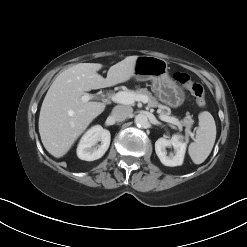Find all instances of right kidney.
Returning <instances> with one entry per match:
<instances>
[{"label":"right kidney","instance_id":"right-kidney-1","mask_svg":"<svg viewBox=\"0 0 247 247\" xmlns=\"http://www.w3.org/2000/svg\"><path fill=\"white\" fill-rule=\"evenodd\" d=\"M110 140L109 130L103 129L100 125L93 126L82 136L77 147V156L81 160H97L108 150ZM98 142H101L100 145H97Z\"/></svg>","mask_w":247,"mask_h":247}]
</instances>
